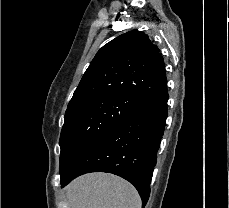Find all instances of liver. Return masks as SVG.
I'll return each mask as SVG.
<instances>
[{"instance_id":"liver-1","label":"liver","mask_w":229,"mask_h":208,"mask_svg":"<svg viewBox=\"0 0 229 208\" xmlns=\"http://www.w3.org/2000/svg\"><path fill=\"white\" fill-rule=\"evenodd\" d=\"M70 208H142L132 184L113 174H85L65 188Z\"/></svg>"}]
</instances>
